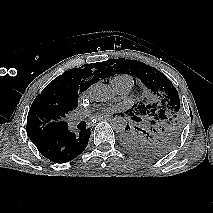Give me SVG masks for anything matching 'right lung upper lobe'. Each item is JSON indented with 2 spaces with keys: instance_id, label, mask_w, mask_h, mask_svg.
<instances>
[{
  "instance_id": "1",
  "label": "right lung upper lobe",
  "mask_w": 213,
  "mask_h": 213,
  "mask_svg": "<svg viewBox=\"0 0 213 213\" xmlns=\"http://www.w3.org/2000/svg\"><path fill=\"white\" fill-rule=\"evenodd\" d=\"M98 69V64H85L79 68L70 69L62 75L55 78L49 83L44 90L39 94L28 113L27 117V134L30 139L38 137V134L33 129L31 118L43 106L69 103L78 106V98L80 92H84L90 85L97 82L100 78L105 77ZM68 129V124L63 123L57 130L52 132L58 133Z\"/></svg>"
}]
</instances>
